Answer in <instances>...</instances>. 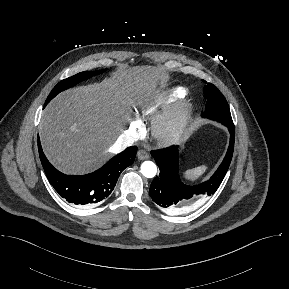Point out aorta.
<instances>
[{"label": "aorta", "mask_w": 289, "mask_h": 289, "mask_svg": "<svg viewBox=\"0 0 289 289\" xmlns=\"http://www.w3.org/2000/svg\"><path fill=\"white\" fill-rule=\"evenodd\" d=\"M141 173L147 178H153L157 173V167L152 161H145L141 165Z\"/></svg>", "instance_id": "1"}]
</instances>
